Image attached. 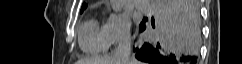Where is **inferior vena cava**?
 <instances>
[{"label":"inferior vena cava","instance_id":"inferior-vena-cava-1","mask_svg":"<svg viewBox=\"0 0 242 64\" xmlns=\"http://www.w3.org/2000/svg\"><path fill=\"white\" fill-rule=\"evenodd\" d=\"M130 53H131V40L126 37L119 43L114 56L118 60L119 64H129Z\"/></svg>","mask_w":242,"mask_h":64}]
</instances>
